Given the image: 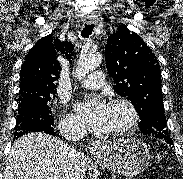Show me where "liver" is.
I'll return each instance as SVG.
<instances>
[{
    "label": "liver",
    "instance_id": "liver-1",
    "mask_svg": "<svg viewBox=\"0 0 183 179\" xmlns=\"http://www.w3.org/2000/svg\"><path fill=\"white\" fill-rule=\"evenodd\" d=\"M80 155L85 174L87 159ZM68 146L42 132L28 133L16 140L7 156L4 179H69Z\"/></svg>",
    "mask_w": 183,
    "mask_h": 179
}]
</instances>
